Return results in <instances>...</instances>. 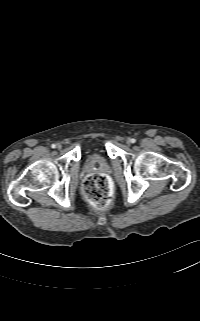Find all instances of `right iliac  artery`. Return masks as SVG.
<instances>
[{"label":"right iliac artery","instance_id":"obj_1","mask_svg":"<svg viewBox=\"0 0 200 321\" xmlns=\"http://www.w3.org/2000/svg\"><path fill=\"white\" fill-rule=\"evenodd\" d=\"M51 147H52V148H56V145H55V144H52Z\"/></svg>","mask_w":200,"mask_h":321}]
</instances>
